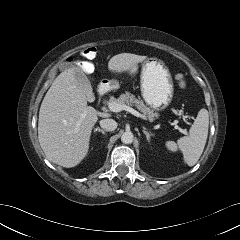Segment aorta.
<instances>
[{
    "mask_svg": "<svg viewBox=\"0 0 240 240\" xmlns=\"http://www.w3.org/2000/svg\"><path fill=\"white\" fill-rule=\"evenodd\" d=\"M134 136L132 132H124L121 136V141L124 144H131L133 142Z\"/></svg>",
    "mask_w": 240,
    "mask_h": 240,
    "instance_id": "762f6f07",
    "label": "aorta"
}]
</instances>
